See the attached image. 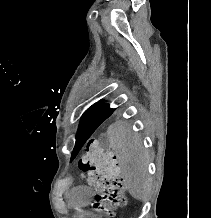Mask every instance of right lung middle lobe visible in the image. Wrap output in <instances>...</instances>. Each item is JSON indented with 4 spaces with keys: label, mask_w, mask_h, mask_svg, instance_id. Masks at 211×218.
<instances>
[{
    "label": "right lung middle lobe",
    "mask_w": 211,
    "mask_h": 218,
    "mask_svg": "<svg viewBox=\"0 0 211 218\" xmlns=\"http://www.w3.org/2000/svg\"><path fill=\"white\" fill-rule=\"evenodd\" d=\"M107 103H95L82 116L77 139L89 137L112 113Z\"/></svg>",
    "instance_id": "dd1d6c3e"
}]
</instances>
